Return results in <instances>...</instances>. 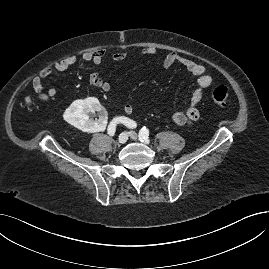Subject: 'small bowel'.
Here are the masks:
<instances>
[{
	"instance_id": "c3829d8e",
	"label": "small bowel",
	"mask_w": 269,
	"mask_h": 269,
	"mask_svg": "<svg viewBox=\"0 0 269 269\" xmlns=\"http://www.w3.org/2000/svg\"><path fill=\"white\" fill-rule=\"evenodd\" d=\"M157 49L155 47H145L137 52L139 56L154 55ZM106 57L105 49H97L93 51L84 52L81 59L85 62H92L95 65H101ZM128 58L127 52H116L111 55V59L115 62H121ZM76 56H68L59 61H56L51 66L43 69L32 80V88L36 94L43 95V99L51 101L57 94L55 88H50L44 93V81L50 77L55 71L62 72L77 63ZM163 67L168 69L175 64L183 66L190 75L197 79L195 87L190 91L189 99L186 108L183 111H176L172 114V122L177 126H190L197 122L200 118L199 104L202 101L206 90L211 86L213 78L206 73V69L202 64L195 62L187 57H184L177 52H169L163 58ZM90 82L93 86L102 92H109L111 85L103 79L99 71L94 72L90 76ZM133 106L130 103L123 105V112L125 115L133 113ZM112 122H110L111 124ZM121 123V122H120ZM109 124V125H110Z\"/></svg>"
}]
</instances>
